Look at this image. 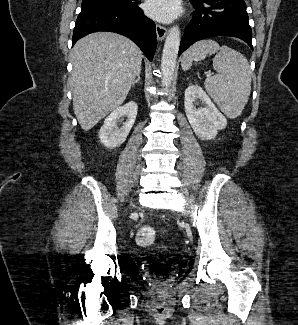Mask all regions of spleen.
<instances>
[{
    "mask_svg": "<svg viewBox=\"0 0 298 325\" xmlns=\"http://www.w3.org/2000/svg\"><path fill=\"white\" fill-rule=\"evenodd\" d=\"M215 54L213 68L217 74L205 78V88L220 110L228 118H237L241 114L251 92V68L241 52L220 46L216 40H198L186 50L182 64L183 70L192 66V60H204Z\"/></svg>",
    "mask_w": 298,
    "mask_h": 325,
    "instance_id": "obj_1",
    "label": "spleen"
}]
</instances>
